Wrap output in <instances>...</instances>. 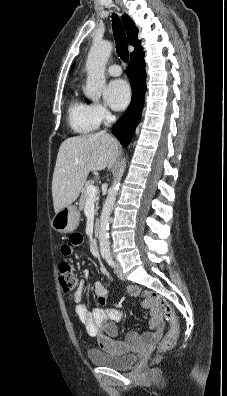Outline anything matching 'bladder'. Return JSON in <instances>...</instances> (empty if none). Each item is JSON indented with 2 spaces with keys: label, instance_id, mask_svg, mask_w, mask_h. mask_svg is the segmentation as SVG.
I'll list each match as a JSON object with an SVG mask.
<instances>
[{
  "label": "bladder",
  "instance_id": "bladder-1",
  "mask_svg": "<svg viewBox=\"0 0 227 396\" xmlns=\"http://www.w3.org/2000/svg\"><path fill=\"white\" fill-rule=\"evenodd\" d=\"M90 363L95 366L108 367L116 370L130 369L138 357L134 353H114L101 349H90L87 352Z\"/></svg>",
  "mask_w": 227,
  "mask_h": 396
}]
</instances>
